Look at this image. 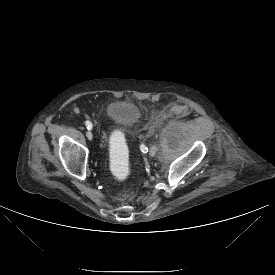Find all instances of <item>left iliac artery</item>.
I'll return each mask as SVG.
<instances>
[{
  "instance_id": "obj_1",
  "label": "left iliac artery",
  "mask_w": 275,
  "mask_h": 275,
  "mask_svg": "<svg viewBox=\"0 0 275 275\" xmlns=\"http://www.w3.org/2000/svg\"><path fill=\"white\" fill-rule=\"evenodd\" d=\"M146 149H147L146 147H142V151H143V152H144ZM147 151H148V149H147Z\"/></svg>"
}]
</instances>
